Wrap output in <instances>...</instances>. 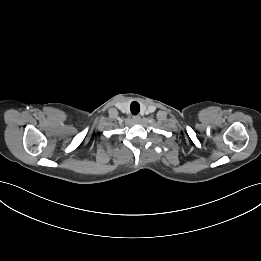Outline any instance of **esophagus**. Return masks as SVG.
Returning <instances> with one entry per match:
<instances>
[{
	"label": "esophagus",
	"mask_w": 261,
	"mask_h": 261,
	"mask_svg": "<svg viewBox=\"0 0 261 261\" xmlns=\"http://www.w3.org/2000/svg\"><path fill=\"white\" fill-rule=\"evenodd\" d=\"M133 121H134L135 123H140V122H141V117H140V116H134V117H133Z\"/></svg>",
	"instance_id": "34e87169"
}]
</instances>
